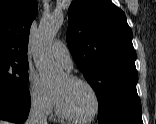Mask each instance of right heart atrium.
Here are the masks:
<instances>
[{
    "instance_id": "1",
    "label": "right heart atrium",
    "mask_w": 156,
    "mask_h": 124,
    "mask_svg": "<svg viewBox=\"0 0 156 124\" xmlns=\"http://www.w3.org/2000/svg\"><path fill=\"white\" fill-rule=\"evenodd\" d=\"M27 90L30 105L43 115H50L55 106L54 93L42 84L38 75L30 71L27 77Z\"/></svg>"
}]
</instances>
